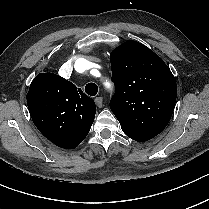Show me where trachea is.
<instances>
[{
    "label": "trachea",
    "instance_id": "1",
    "mask_svg": "<svg viewBox=\"0 0 209 209\" xmlns=\"http://www.w3.org/2000/svg\"><path fill=\"white\" fill-rule=\"evenodd\" d=\"M85 92L90 96H96L98 92V86L95 83H88L85 86Z\"/></svg>",
    "mask_w": 209,
    "mask_h": 209
}]
</instances>
